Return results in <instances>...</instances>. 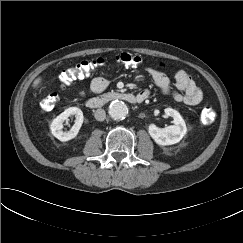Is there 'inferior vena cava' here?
I'll return each mask as SVG.
<instances>
[{
  "label": "inferior vena cava",
  "instance_id": "602c4592",
  "mask_svg": "<svg viewBox=\"0 0 243 243\" xmlns=\"http://www.w3.org/2000/svg\"><path fill=\"white\" fill-rule=\"evenodd\" d=\"M95 118L98 121H103L106 118V112L103 109H97L95 111Z\"/></svg>",
  "mask_w": 243,
  "mask_h": 243
}]
</instances>
